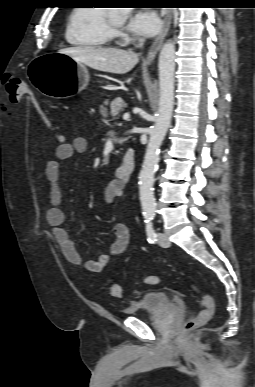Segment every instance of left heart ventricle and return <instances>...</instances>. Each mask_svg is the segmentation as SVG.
<instances>
[{
	"label": "left heart ventricle",
	"mask_w": 255,
	"mask_h": 387,
	"mask_svg": "<svg viewBox=\"0 0 255 387\" xmlns=\"http://www.w3.org/2000/svg\"><path fill=\"white\" fill-rule=\"evenodd\" d=\"M111 20H112L113 24L117 27H120L122 25V22L115 17L111 18Z\"/></svg>",
	"instance_id": "b2bd125f"
}]
</instances>
